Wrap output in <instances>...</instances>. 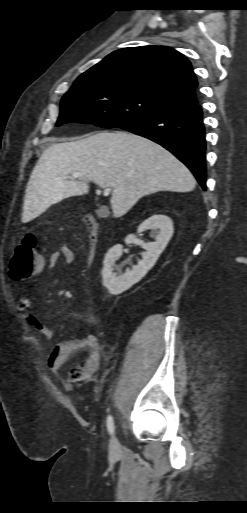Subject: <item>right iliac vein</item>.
<instances>
[{
    "mask_svg": "<svg viewBox=\"0 0 247 513\" xmlns=\"http://www.w3.org/2000/svg\"><path fill=\"white\" fill-rule=\"evenodd\" d=\"M109 451L112 456H117L120 452V444L115 436L110 439Z\"/></svg>",
    "mask_w": 247,
    "mask_h": 513,
    "instance_id": "63e3f726",
    "label": "right iliac vein"
}]
</instances>
